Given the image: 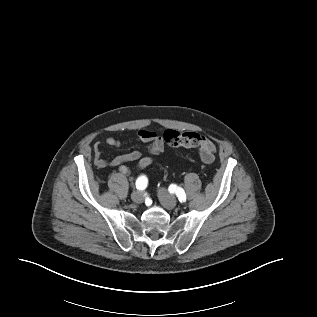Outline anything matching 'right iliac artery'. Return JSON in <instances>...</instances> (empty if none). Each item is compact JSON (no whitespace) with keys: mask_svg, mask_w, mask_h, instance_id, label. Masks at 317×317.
<instances>
[{"mask_svg":"<svg viewBox=\"0 0 317 317\" xmlns=\"http://www.w3.org/2000/svg\"><path fill=\"white\" fill-rule=\"evenodd\" d=\"M148 180L145 176H140L137 180H136V188L138 190H144L147 186Z\"/></svg>","mask_w":317,"mask_h":317,"instance_id":"right-iliac-artery-1","label":"right iliac artery"}]
</instances>
